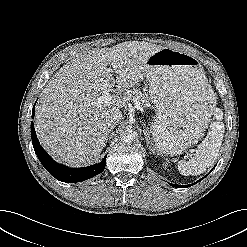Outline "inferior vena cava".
<instances>
[{
    "instance_id": "602c4592",
    "label": "inferior vena cava",
    "mask_w": 247,
    "mask_h": 247,
    "mask_svg": "<svg viewBox=\"0 0 247 247\" xmlns=\"http://www.w3.org/2000/svg\"><path fill=\"white\" fill-rule=\"evenodd\" d=\"M121 117H122V114L119 112H111L107 114L105 117L106 127L107 128L115 127V125H117Z\"/></svg>"
}]
</instances>
